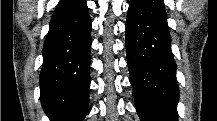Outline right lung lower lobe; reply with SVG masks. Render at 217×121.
Instances as JSON below:
<instances>
[{"label": "right lung lower lobe", "instance_id": "98d812e1", "mask_svg": "<svg viewBox=\"0 0 217 121\" xmlns=\"http://www.w3.org/2000/svg\"><path fill=\"white\" fill-rule=\"evenodd\" d=\"M91 19L85 0H60L43 47L40 98L50 121H82L88 110Z\"/></svg>", "mask_w": 217, "mask_h": 121}]
</instances>
